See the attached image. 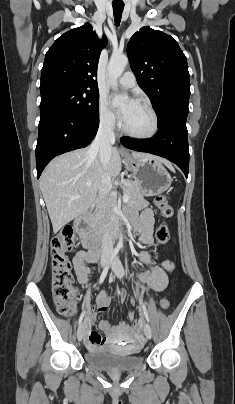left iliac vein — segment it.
<instances>
[{
  "mask_svg": "<svg viewBox=\"0 0 235 404\" xmlns=\"http://www.w3.org/2000/svg\"><path fill=\"white\" fill-rule=\"evenodd\" d=\"M112 270H113L114 274L118 278H122L124 276V269H123V266H122L119 258H116L115 261L113 262ZM143 331H144V334H145L146 338L151 339L152 330H151V327H150V325L148 323H144Z\"/></svg>",
  "mask_w": 235,
  "mask_h": 404,
  "instance_id": "obj_1",
  "label": "left iliac vein"
}]
</instances>
